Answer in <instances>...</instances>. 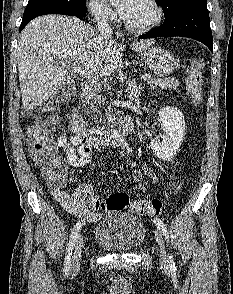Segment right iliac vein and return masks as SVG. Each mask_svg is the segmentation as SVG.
I'll use <instances>...</instances> for the list:
<instances>
[{
	"label": "right iliac vein",
	"mask_w": 233,
	"mask_h": 294,
	"mask_svg": "<svg viewBox=\"0 0 233 294\" xmlns=\"http://www.w3.org/2000/svg\"><path fill=\"white\" fill-rule=\"evenodd\" d=\"M83 246V236L80 234L74 244L73 253L71 258V267L73 270H77L80 267L81 252Z\"/></svg>",
	"instance_id": "1"
}]
</instances>
